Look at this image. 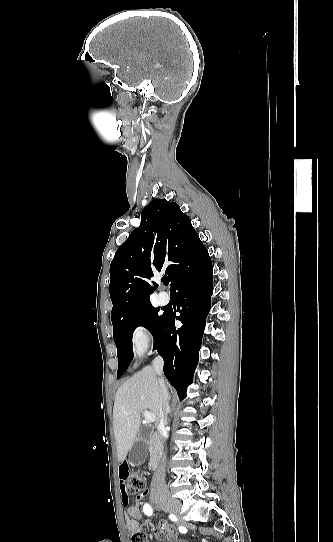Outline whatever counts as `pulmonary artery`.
Instances as JSON below:
<instances>
[{
    "label": "pulmonary artery",
    "instance_id": "1",
    "mask_svg": "<svg viewBox=\"0 0 333 542\" xmlns=\"http://www.w3.org/2000/svg\"><path fill=\"white\" fill-rule=\"evenodd\" d=\"M159 291H160V293H165V289H164V288L159 289ZM167 303H168V301H165V300H162V301H161V304H162V305H166Z\"/></svg>",
    "mask_w": 333,
    "mask_h": 542
}]
</instances>
